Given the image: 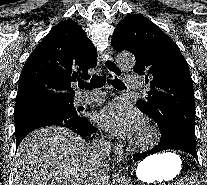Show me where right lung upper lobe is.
Segmentation results:
<instances>
[{
	"mask_svg": "<svg viewBox=\"0 0 207 185\" xmlns=\"http://www.w3.org/2000/svg\"><path fill=\"white\" fill-rule=\"evenodd\" d=\"M97 50L73 20L55 25L36 46L20 74L15 111L57 103H73L75 82L88 79Z\"/></svg>",
	"mask_w": 207,
	"mask_h": 185,
	"instance_id": "1",
	"label": "right lung upper lobe"
}]
</instances>
